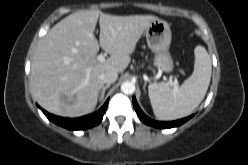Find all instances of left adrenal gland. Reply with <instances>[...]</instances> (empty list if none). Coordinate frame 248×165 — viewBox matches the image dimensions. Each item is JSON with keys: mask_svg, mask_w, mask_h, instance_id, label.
Masks as SVG:
<instances>
[{"mask_svg": "<svg viewBox=\"0 0 248 165\" xmlns=\"http://www.w3.org/2000/svg\"><path fill=\"white\" fill-rule=\"evenodd\" d=\"M146 83L144 84V90H145Z\"/></svg>", "mask_w": 248, "mask_h": 165, "instance_id": "left-adrenal-gland-1", "label": "left adrenal gland"}]
</instances>
